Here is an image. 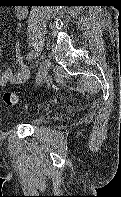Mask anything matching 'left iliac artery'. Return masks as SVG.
I'll list each match as a JSON object with an SVG mask.
<instances>
[{
	"mask_svg": "<svg viewBox=\"0 0 121 197\" xmlns=\"http://www.w3.org/2000/svg\"><path fill=\"white\" fill-rule=\"evenodd\" d=\"M36 57V53L34 51H31L29 52L27 55H26V60L27 61H31L32 59H34Z\"/></svg>",
	"mask_w": 121,
	"mask_h": 197,
	"instance_id": "left-iliac-artery-1",
	"label": "left iliac artery"
}]
</instances>
